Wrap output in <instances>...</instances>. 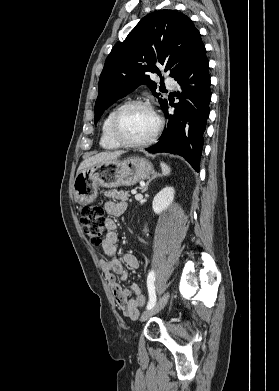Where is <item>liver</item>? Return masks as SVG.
Masks as SVG:
<instances>
[{"instance_id":"6515ba94","label":"liver","mask_w":279,"mask_h":391,"mask_svg":"<svg viewBox=\"0 0 279 391\" xmlns=\"http://www.w3.org/2000/svg\"><path fill=\"white\" fill-rule=\"evenodd\" d=\"M122 155V152H101L89 158H86L79 166L77 170V175L87 168L93 166L97 163H105L112 160H116L118 157Z\"/></svg>"}]
</instances>
